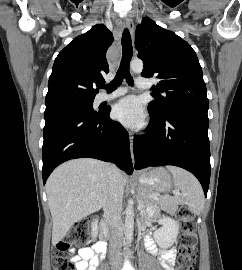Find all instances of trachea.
Listing matches in <instances>:
<instances>
[{"mask_svg": "<svg viewBox=\"0 0 242 270\" xmlns=\"http://www.w3.org/2000/svg\"><path fill=\"white\" fill-rule=\"evenodd\" d=\"M133 49L131 36L128 29H125L122 34V59L120 63V67L116 73L115 78L108 85H102L104 89L107 91H112L116 89L119 85H121L123 79L125 78L129 85L133 84L132 76L129 72V65L132 58Z\"/></svg>", "mask_w": 242, "mask_h": 270, "instance_id": "obj_1", "label": "trachea"}]
</instances>
